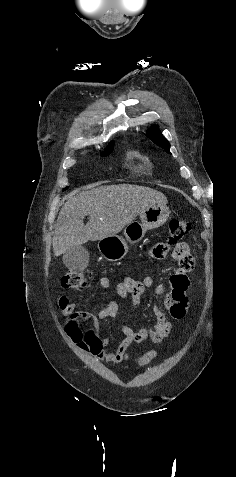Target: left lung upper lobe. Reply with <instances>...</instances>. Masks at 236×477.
<instances>
[{"label":"left lung upper lobe","mask_w":236,"mask_h":477,"mask_svg":"<svg viewBox=\"0 0 236 477\" xmlns=\"http://www.w3.org/2000/svg\"><path fill=\"white\" fill-rule=\"evenodd\" d=\"M147 136L158 146L164 148L168 153H170V144L167 139L162 135L161 131L157 126H153L150 130L147 131Z\"/></svg>","instance_id":"5c2ea615"}]
</instances>
